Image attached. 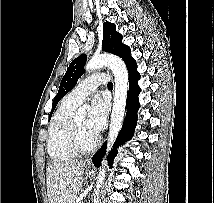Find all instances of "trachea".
Wrapping results in <instances>:
<instances>
[{
	"label": "trachea",
	"instance_id": "1",
	"mask_svg": "<svg viewBox=\"0 0 214 203\" xmlns=\"http://www.w3.org/2000/svg\"><path fill=\"white\" fill-rule=\"evenodd\" d=\"M108 87L113 88V83L112 82H108Z\"/></svg>",
	"mask_w": 214,
	"mask_h": 203
}]
</instances>
